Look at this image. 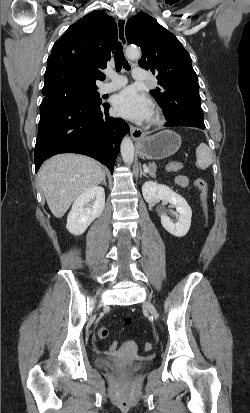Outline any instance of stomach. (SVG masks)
I'll list each match as a JSON object with an SVG mask.
<instances>
[{
  "instance_id": "1",
  "label": "stomach",
  "mask_w": 250,
  "mask_h": 413,
  "mask_svg": "<svg viewBox=\"0 0 250 413\" xmlns=\"http://www.w3.org/2000/svg\"><path fill=\"white\" fill-rule=\"evenodd\" d=\"M181 137L171 130H164L152 136H144L137 142V151L141 158L159 160L175 154L180 146Z\"/></svg>"
}]
</instances>
